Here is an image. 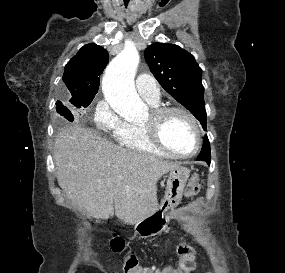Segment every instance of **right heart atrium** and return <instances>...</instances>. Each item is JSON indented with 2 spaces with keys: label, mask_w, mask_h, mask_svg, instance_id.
<instances>
[{
  "label": "right heart atrium",
  "mask_w": 285,
  "mask_h": 273,
  "mask_svg": "<svg viewBox=\"0 0 285 273\" xmlns=\"http://www.w3.org/2000/svg\"><path fill=\"white\" fill-rule=\"evenodd\" d=\"M95 127L117 139L128 127V122L122 118L105 99L97 102L94 109Z\"/></svg>",
  "instance_id": "right-heart-atrium-1"
}]
</instances>
